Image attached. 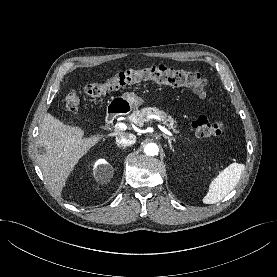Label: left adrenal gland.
<instances>
[{"label": "left adrenal gland", "mask_w": 277, "mask_h": 277, "mask_svg": "<svg viewBox=\"0 0 277 277\" xmlns=\"http://www.w3.org/2000/svg\"><path fill=\"white\" fill-rule=\"evenodd\" d=\"M163 137L168 140V144H169L170 150H173V148H172V140L173 139L171 137L165 135V134H163Z\"/></svg>", "instance_id": "a2214340"}]
</instances>
